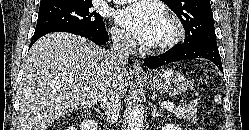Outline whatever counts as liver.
Segmentation results:
<instances>
[{
    "label": "liver",
    "mask_w": 249,
    "mask_h": 130,
    "mask_svg": "<svg viewBox=\"0 0 249 130\" xmlns=\"http://www.w3.org/2000/svg\"><path fill=\"white\" fill-rule=\"evenodd\" d=\"M20 87V130H46L65 113L96 104L110 88L124 97L129 74L117 75L109 53L86 38L55 32L31 47Z\"/></svg>",
    "instance_id": "1"
}]
</instances>
